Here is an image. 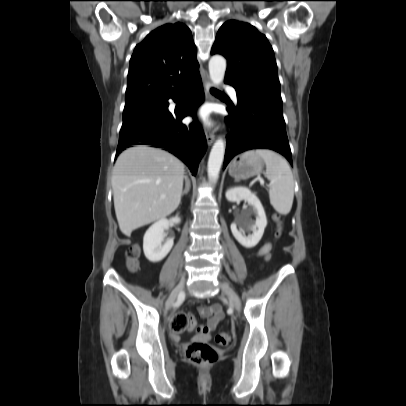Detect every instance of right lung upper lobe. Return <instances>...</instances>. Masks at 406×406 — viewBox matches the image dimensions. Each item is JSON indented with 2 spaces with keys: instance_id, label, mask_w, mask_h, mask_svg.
<instances>
[{
  "instance_id": "1",
  "label": "right lung upper lobe",
  "mask_w": 406,
  "mask_h": 406,
  "mask_svg": "<svg viewBox=\"0 0 406 406\" xmlns=\"http://www.w3.org/2000/svg\"><path fill=\"white\" fill-rule=\"evenodd\" d=\"M196 46L183 23L158 27L135 47L130 60L125 106L166 99L200 76Z\"/></svg>"
}]
</instances>
